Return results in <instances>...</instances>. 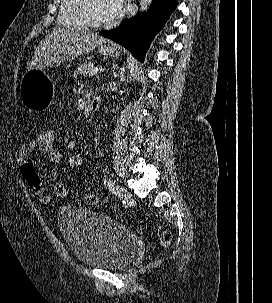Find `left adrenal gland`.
<instances>
[{
  "label": "left adrenal gland",
  "instance_id": "obj_1",
  "mask_svg": "<svg viewBox=\"0 0 272 303\" xmlns=\"http://www.w3.org/2000/svg\"><path fill=\"white\" fill-rule=\"evenodd\" d=\"M124 72H125V70H124V69H123V70L121 69V71H120V73H119V76H120V77H123V76H124Z\"/></svg>",
  "mask_w": 272,
  "mask_h": 303
}]
</instances>
